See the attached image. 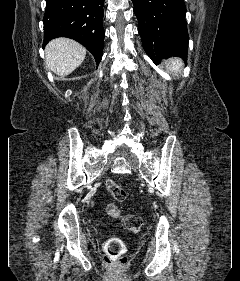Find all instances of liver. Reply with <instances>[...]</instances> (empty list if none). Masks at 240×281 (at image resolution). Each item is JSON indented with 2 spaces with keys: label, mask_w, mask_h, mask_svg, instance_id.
Returning a JSON list of instances; mask_svg holds the SVG:
<instances>
[{
  "label": "liver",
  "mask_w": 240,
  "mask_h": 281,
  "mask_svg": "<svg viewBox=\"0 0 240 281\" xmlns=\"http://www.w3.org/2000/svg\"><path fill=\"white\" fill-rule=\"evenodd\" d=\"M45 54L48 68L57 75L66 76L84 61L86 49L72 39L57 38L47 44Z\"/></svg>",
  "instance_id": "6515ba94"
}]
</instances>
